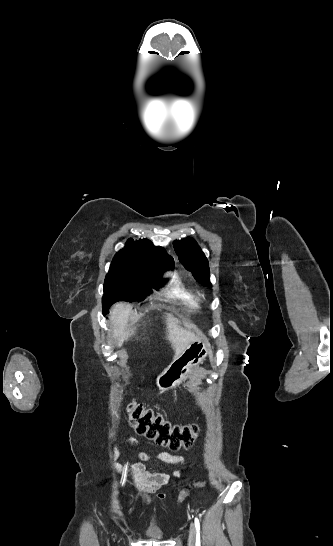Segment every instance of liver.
<instances>
[{"label": "liver", "instance_id": "6515ba94", "mask_svg": "<svg viewBox=\"0 0 333 546\" xmlns=\"http://www.w3.org/2000/svg\"><path fill=\"white\" fill-rule=\"evenodd\" d=\"M133 314V307L127 303H117L110 312L109 319L114 324V337L118 338V346L134 335L135 328L127 329L129 317ZM166 339L171 343L174 349V358L185 351L189 345L198 338L194 332L189 329L179 327L180 321L172 314L165 315Z\"/></svg>", "mask_w": 333, "mask_h": 546}]
</instances>
